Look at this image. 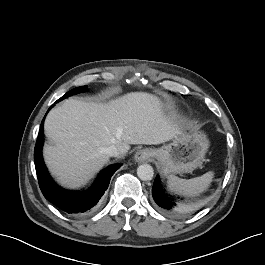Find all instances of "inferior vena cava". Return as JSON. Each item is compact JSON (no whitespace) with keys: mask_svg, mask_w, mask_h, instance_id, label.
Returning a JSON list of instances; mask_svg holds the SVG:
<instances>
[{"mask_svg":"<svg viewBox=\"0 0 265 265\" xmlns=\"http://www.w3.org/2000/svg\"><path fill=\"white\" fill-rule=\"evenodd\" d=\"M104 152L110 157H117L120 154L119 149L114 145L105 148Z\"/></svg>","mask_w":265,"mask_h":265,"instance_id":"1","label":"inferior vena cava"}]
</instances>
